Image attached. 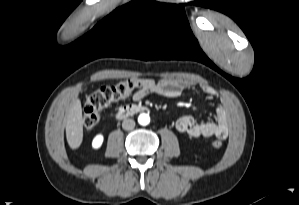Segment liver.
Here are the masks:
<instances>
[{
  "mask_svg": "<svg viewBox=\"0 0 299 205\" xmlns=\"http://www.w3.org/2000/svg\"><path fill=\"white\" fill-rule=\"evenodd\" d=\"M66 138L71 149H77L83 140V117L81 101L74 100L66 115Z\"/></svg>",
  "mask_w": 299,
  "mask_h": 205,
  "instance_id": "1",
  "label": "liver"
}]
</instances>
